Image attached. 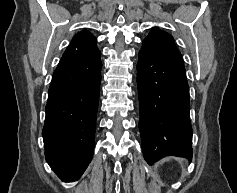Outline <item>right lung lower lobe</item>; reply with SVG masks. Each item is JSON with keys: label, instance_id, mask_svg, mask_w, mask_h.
I'll return each mask as SVG.
<instances>
[{"label": "right lung lower lobe", "instance_id": "right-lung-lower-lobe-1", "mask_svg": "<svg viewBox=\"0 0 237 193\" xmlns=\"http://www.w3.org/2000/svg\"><path fill=\"white\" fill-rule=\"evenodd\" d=\"M100 55L65 51L49 87L42 131L45 157L64 181L80 178L93 156Z\"/></svg>", "mask_w": 237, "mask_h": 193}]
</instances>
